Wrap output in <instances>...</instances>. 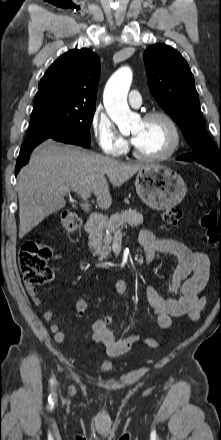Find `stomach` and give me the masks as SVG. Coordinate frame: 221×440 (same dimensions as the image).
<instances>
[{
  "label": "stomach",
  "instance_id": "stomach-1",
  "mask_svg": "<svg viewBox=\"0 0 221 440\" xmlns=\"http://www.w3.org/2000/svg\"><path fill=\"white\" fill-rule=\"evenodd\" d=\"M135 187L141 200L155 210L179 204L186 194L183 178L173 169L160 164H146L136 175Z\"/></svg>",
  "mask_w": 221,
  "mask_h": 440
}]
</instances>
